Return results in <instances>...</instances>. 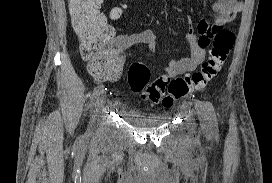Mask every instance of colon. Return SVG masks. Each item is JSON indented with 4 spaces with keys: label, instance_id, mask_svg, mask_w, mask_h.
Listing matches in <instances>:
<instances>
[{
    "label": "colon",
    "instance_id": "5ec220e1",
    "mask_svg": "<svg viewBox=\"0 0 272 183\" xmlns=\"http://www.w3.org/2000/svg\"><path fill=\"white\" fill-rule=\"evenodd\" d=\"M104 0H69L72 25L79 40L82 58L87 62L91 73L104 77L108 71L119 64V56L110 45L112 33L101 13ZM120 10L116 8L112 16L117 18ZM234 34L219 28L212 39L209 58L201 68L184 77L163 76L150 81L149 69L142 63L131 64L128 70L130 89L139 94L148 104L162 101L165 107H171L175 100L194 90L204 89L220 72L234 45Z\"/></svg>",
    "mask_w": 272,
    "mask_h": 183
}]
</instances>
